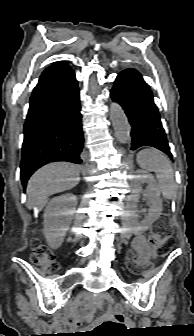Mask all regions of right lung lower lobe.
<instances>
[{"label": "right lung lower lobe", "instance_id": "obj_1", "mask_svg": "<svg viewBox=\"0 0 194 336\" xmlns=\"http://www.w3.org/2000/svg\"><path fill=\"white\" fill-rule=\"evenodd\" d=\"M82 149L78 82L67 63H55L42 73L30 98L21 157L24 188L49 162L81 163Z\"/></svg>", "mask_w": 194, "mask_h": 336}]
</instances>
